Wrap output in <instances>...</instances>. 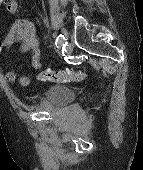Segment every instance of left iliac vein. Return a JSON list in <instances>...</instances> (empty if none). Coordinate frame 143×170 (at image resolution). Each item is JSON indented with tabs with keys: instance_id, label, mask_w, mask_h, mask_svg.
Returning a JSON list of instances; mask_svg holds the SVG:
<instances>
[{
	"instance_id": "left-iliac-vein-1",
	"label": "left iliac vein",
	"mask_w": 143,
	"mask_h": 170,
	"mask_svg": "<svg viewBox=\"0 0 143 170\" xmlns=\"http://www.w3.org/2000/svg\"><path fill=\"white\" fill-rule=\"evenodd\" d=\"M62 32H63V34H64V36H65V39H66V48H65V52H66V54L67 55H69L71 52H72V46L71 45H69L68 44V42H67V38H68V32L66 31V29H62Z\"/></svg>"
}]
</instances>
